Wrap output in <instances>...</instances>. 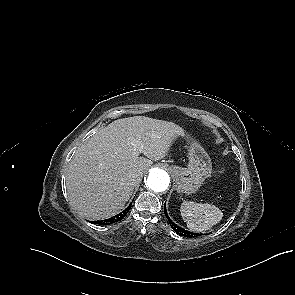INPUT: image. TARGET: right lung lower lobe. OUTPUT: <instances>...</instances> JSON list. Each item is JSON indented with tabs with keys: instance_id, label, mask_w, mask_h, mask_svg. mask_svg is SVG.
Instances as JSON below:
<instances>
[{
	"instance_id": "right-lung-lower-lobe-1",
	"label": "right lung lower lobe",
	"mask_w": 295,
	"mask_h": 295,
	"mask_svg": "<svg viewBox=\"0 0 295 295\" xmlns=\"http://www.w3.org/2000/svg\"><path fill=\"white\" fill-rule=\"evenodd\" d=\"M131 205H132V203L124 211H122L121 213L117 214L116 216H114L112 218H109V219H106V220H101V221H91V223L105 225V224H112L114 222L120 221L128 213V211L131 208Z\"/></svg>"
}]
</instances>
